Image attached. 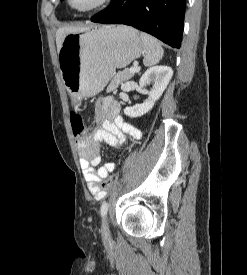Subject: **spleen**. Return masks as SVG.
Segmentation results:
<instances>
[{
	"label": "spleen",
	"instance_id": "3e777b00",
	"mask_svg": "<svg viewBox=\"0 0 247 275\" xmlns=\"http://www.w3.org/2000/svg\"><path fill=\"white\" fill-rule=\"evenodd\" d=\"M140 37L144 45L143 64L146 67H149L159 63L164 55V50L161 47L160 43L154 37L148 35L147 33L142 32L140 34Z\"/></svg>",
	"mask_w": 247,
	"mask_h": 275
}]
</instances>
